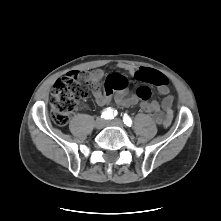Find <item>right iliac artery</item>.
<instances>
[{
	"label": "right iliac artery",
	"mask_w": 221,
	"mask_h": 221,
	"mask_svg": "<svg viewBox=\"0 0 221 221\" xmlns=\"http://www.w3.org/2000/svg\"><path fill=\"white\" fill-rule=\"evenodd\" d=\"M116 113V111L114 112ZM102 118L108 120V119H113L114 118V114H113V110L112 109H107L105 110L102 115H101Z\"/></svg>",
	"instance_id": "82829eb1"
}]
</instances>
